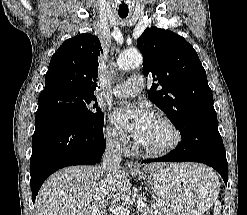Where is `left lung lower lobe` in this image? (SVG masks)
<instances>
[{
	"instance_id": "left-lung-lower-lobe-1",
	"label": "left lung lower lobe",
	"mask_w": 247,
	"mask_h": 215,
	"mask_svg": "<svg viewBox=\"0 0 247 215\" xmlns=\"http://www.w3.org/2000/svg\"><path fill=\"white\" fill-rule=\"evenodd\" d=\"M182 141L168 155L150 162H199L214 168L227 184L228 163L225 148L218 128L191 131L182 136Z\"/></svg>"
}]
</instances>
